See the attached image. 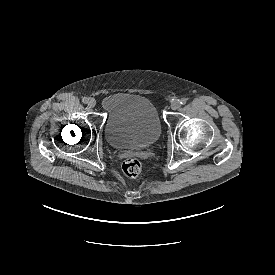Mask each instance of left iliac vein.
<instances>
[{
  "label": "left iliac vein",
  "mask_w": 275,
  "mask_h": 275,
  "mask_svg": "<svg viewBox=\"0 0 275 275\" xmlns=\"http://www.w3.org/2000/svg\"><path fill=\"white\" fill-rule=\"evenodd\" d=\"M181 107V104L178 100H174L172 103H171V108L173 110H178L179 108Z\"/></svg>",
  "instance_id": "obj_1"
}]
</instances>
